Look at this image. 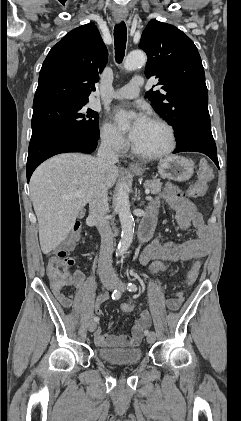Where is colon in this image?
Listing matches in <instances>:
<instances>
[{
	"instance_id": "5ec220e1",
	"label": "colon",
	"mask_w": 241,
	"mask_h": 421,
	"mask_svg": "<svg viewBox=\"0 0 241 421\" xmlns=\"http://www.w3.org/2000/svg\"><path fill=\"white\" fill-rule=\"evenodd\" d=\"M213 172L211 166L207 161L203 160L200 163L198 170V179L190 187L188 196L198 198L206 194L210 181L212 180ZM81 235V226L76 223L72 228L69 236L63 244L52 252L47 260V275L51 283L55 287H63L73 282L74 277L70 274L69 268L73 265V260L67 255L69 249L79 240ZM169 268V263L164 260H154L150 263L149 271L155 276H159L166 272ZM198 267L196 264L192 266L186 276V284L191 285L197 278ZM134 310V301L132 299L122 303L121 311L123 313H131Z\"/></svg>"
}]
</instances>
